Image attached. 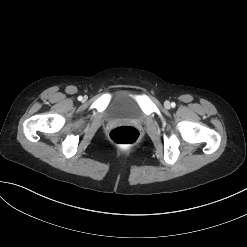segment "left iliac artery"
<instances>
[{"mask_svg": "<svg viewBox=\"0 0 247 247\" xmlns=\"http://www.w3.org/2000/svg\"><path fill=\"white\" fill-rule=\"evenodd\" d=\"M175 105H176V104H175L174 102L171 103V106H172V107H175Z\"/></svg>", "mask_w": 247, "mask_h": 247, "instance_id": "obj_1", "label": "left iliac artery"}]
</instances>
